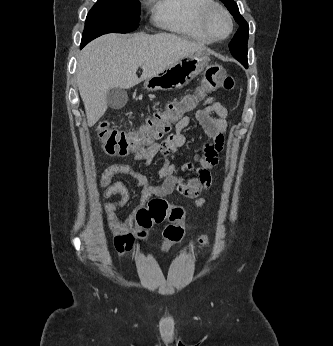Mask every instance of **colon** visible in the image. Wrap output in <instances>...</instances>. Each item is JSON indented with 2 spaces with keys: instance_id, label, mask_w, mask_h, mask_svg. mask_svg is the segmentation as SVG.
Masks as SVG:
<instances>
[{
  "instance_id": "colon-1",
  "label": "colon",
  "mask_w": 333,
  "mask_h": 346,
  "mask_svg": "<svg viewBox=\"0 0 333 346\" xmlns=\"http://www.w3.org/2000/svg\"><path fill=\"white\" fill-rule=\"evenodd\" d=\"M232 87V77L221 66L211 64L205 71L203 84L196 92L186 94L179 100L168 102L163 109L154 112L137 128L120 130L112 127L108 122L100 123L98 127L100 144L110 155L125 156L140 151L145 146L161 139L175 122L187 112L195 109L199 100L206 93L219 89L230 90ZM183 217L184 210L181 207L171 205L163 199H152L136 212L137 236L143 238L146 230L167 220L170 225L164 230L162 245L164 248H169L181 242L184 237ZM209 244L207 236L201 237L203 248H208Z\"/></svg>"
}]
</instances>
